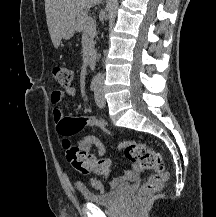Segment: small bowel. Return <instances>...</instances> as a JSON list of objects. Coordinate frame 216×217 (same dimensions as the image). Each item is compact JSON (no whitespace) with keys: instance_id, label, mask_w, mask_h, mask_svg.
Returning <instances> with one entry per match:
<instances>
[{"instance_id":"1","label":"small bowel","mask_w":216,"mask_h":217,"mask_svg":"<svg viewBox=\"0 0 216 217\" xmlns=\"http://www.w3.org/2000/svg\"><path fill=\"white\" fill-rule=\"evenodd\" d=\"M76 90L73 87H69V88H65L62 90H55L52 92L51 94V103L54 106H57L58 104H60L65 98H67L68 96H73L75 95ZM52 118L53 121L56 125V127L58 128L60 126V124L65 120V116L62 112V110L58 107H55L52 111ZM79 146L81 149L85 150L86 152L89 153L90 149L92 147H95L97 150V155H91L92 158L95 161L98 160H105L108 163V168H110L111 165V161L108 159H101L105 153H106V148L104 146V144L101 142V140L99 138H97L96 136L93 135H87L84 136L81 141L79 142ZM140 171L139 167H137L136 165L130 169L128 172H126L122 177L119 178H115L112 179L109 182V186L110 187H115L116 185H118L119 183L126 181V180H131L133 179L136 174ZM97 173V172H94ZM97 174H101V175H105V173H97ZM88 185L98 191H103L105 186L103 184V182L97 178H90L88 180ZM82 187V185H80Z\"/></svg>"}]
</instances>
